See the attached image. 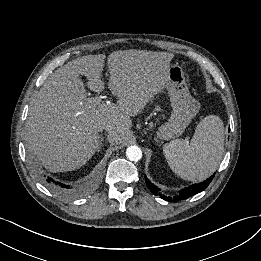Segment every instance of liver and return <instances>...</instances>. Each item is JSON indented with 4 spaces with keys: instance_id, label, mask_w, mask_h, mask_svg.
I'll use <instances>...</instances> for the list:
<instances>
[{
    "instance_id": "obj_1",
    "label": "liver",
    "mask_w": 261,
    "mask_h": 261,
    "mask_svg": "<svg viewBox=\"0 0 261 261\" xmlns=\"http://www.w3.org/2000/svg\"><path fill=\"white\" fill-rule=\"evenodd\" d=\"M174 54L145 50L115 51L107 57L108 87L118 100L89 107L81 76L101 92L105 55H87L68 62L46 80L33 98L25 125L26 146L51 172L80 168L95 154L101 127L111 144L123 143L130 117L143 111L168 81Z\"/></svg>"
}]
</instances>
